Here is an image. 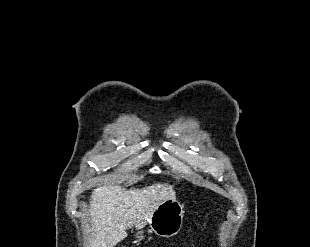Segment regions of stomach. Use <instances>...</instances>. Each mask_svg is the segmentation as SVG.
I'll return each instance as SVG.
<instances>
[{"instance_id":"obj_1","label":"stomach","mask_w":310,"mask_h":247,"mask_svg":"<svg viewBox=\"0 0 310 247\" xmlns=\"http://www.w3.org/2000/svg\"><path fill=\"white\" fill-rule=\"evenodd\" d=\"M184 218V207L176 199L161 202L149 220L151 230L160 237H173L181 229ZM136 242L144 240V232L137 230L134 233Z\"/></svg>"}]
</instances>
